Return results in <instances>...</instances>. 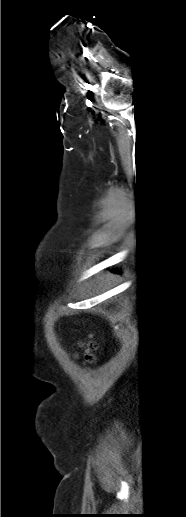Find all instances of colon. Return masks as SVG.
<instances>
[{"label":"colon","instance_id":"1","mask_svg":"<svg viewBox=\"0 0 186 517\" xmlns=\"http://www.w3.org/2000/svg\"><path fill=\"white\" fill-rule=\"evenodd\" d=\"M81 348L83 350L82 358L85 363H93L95 357L93 355V351L96 348V344L92 341H86L81 344Z\"/></svg>","mask_w":186,"mask_h":517}]
</instances>
